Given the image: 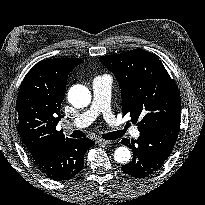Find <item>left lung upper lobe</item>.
Here are the masks:
<instances>
[{
    "mask_svg": "<svg viewBox=\"0 0 205 205\" xmlns=\"http://www.w3.org/2000/svg\"><path fill=\"white\" fill-rule=\"evenodd\" d=\"M117 78L122 112L137 123L139 132L166 124H180L178 87L153 53L142 49L99 58Z\"/></svg>",
    "mask_w": 205,
    "mask_h": 205,
    "instance_id": "1",
    "label": "left lung upper lobe"
}]
</instances>
